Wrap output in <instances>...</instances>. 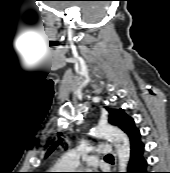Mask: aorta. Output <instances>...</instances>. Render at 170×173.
<instances>
[{"label":"aorta","instance_id":"obj_1","mask_svg":"<svg viewBox=\"0 0 170 173\" xmlns=\"http://www.w3.org/2000/svg\"><path fill=\"white\" fill-rule=\"evenodd\" d=\"M92 131L95 136L105 138L114 144L118 156L119 171L125 172L130 158V143L126 134L107 123L98 124Z\"/></svg>","mask_w":170,"mask_h":173}]
</instances>
